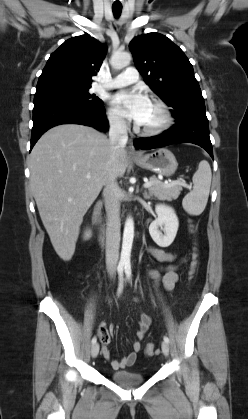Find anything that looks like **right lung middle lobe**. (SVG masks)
<instances>
[{"instance_id": "dd1d6c3e", "label": "right lung middle lobe", "mask_w": 248, "mask_h": 419, "mask_svg": "<svg viewBox=\"0 0 248 419\" xmlns=\"http://www.w3.org/2000/svg\"><path fill=\"white\" fill-rule=\"evenodd\" d=\"M90 88H61L36 92L34 104L50 101H70L89 106L94 110H104L103 101L88 93Z\"/></svg>"}]
</instances>
